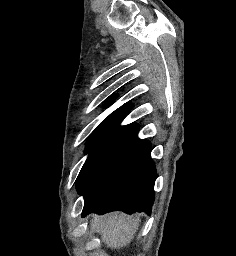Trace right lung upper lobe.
I'll return each instance as SVG.
<instances>
[{
  "instance_id": "cb5924a9",
  "label": "right lung upper lobe",
  "mask_w": 236,
  "mask_h": 256,
  "mask_svg": "<svg viewBox=\"0 0 236 256\" xmlns=\"http://www.w3.org/2000/svg\"><path fill=\"white\" fill-rule=\"evenodd\" d=\"M112 102V100L110 101ZM132 108V106L130 104H125L122 107H120L119 109H117L115 112H113L109 117L107 118H119V119H123L125 117L126 114L129 113L130 109ZM106 118V119H107Z\"/></svg>"
}]
</instances>
